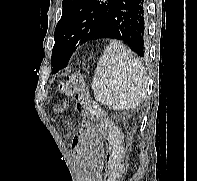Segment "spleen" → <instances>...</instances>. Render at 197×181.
Listing matches in <instances>:
<instances>
[{"label":"spleen","mask_w":197,"mask_h":181,"mask_svg":"<svg viewBox=\"0 0 197 181\" xmlns=\"http://www.w3.org/2000/svg\"><path fill=\"white\" fill-rule=\"evenodd\" d=\"M146 88L143 65L123 44L111 42L95 69L94 98L113 110L131 109L144 101Z\"/></svg>","instance_id":"1"}]
</instances>
